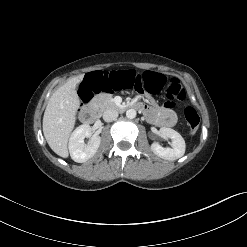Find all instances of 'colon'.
<instances>
[{
  "label": "colon",
  "mask_w": 247,
  "mask_h": 247,
  "mask_svg": "<svg viewBox=\"0 0 247 247\" xmlns=\"http://www.w3.org/2000/svg\"><path fill=\"white\" fill-rule=\"evenodd\" d=\"M136 91L140 94L158 93L164 90L172 106L185 98V90L179 80H167L163 75L153 72L138 71L128 65L110 66L104 73L93 71L87 74L82 88V100L87 102L93 94L104 91L108 94L125 91ZM184 118L191 133H196L200 117L193 107H186Z\"/></svg>",
  "instance_id": "colon-1"
}]
</instances>
